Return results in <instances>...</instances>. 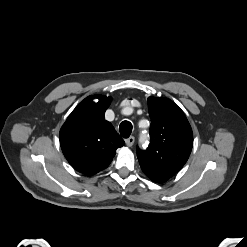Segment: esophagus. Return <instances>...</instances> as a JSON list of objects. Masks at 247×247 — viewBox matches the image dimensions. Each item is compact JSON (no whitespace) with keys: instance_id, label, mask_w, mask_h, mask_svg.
I'll return each instance as SVG.
<instances>
[{"instance_id":"obj_1","label":"esophagus","mask_w":247,"mask_h":247,"mask_svg":"<svg viewBox=\"0 0 247 247\" xmlns=\"http://www.w3.org/2000/svg\"><path fill=\"white\" fill-rule=\"evenodd\" d=\"M135 138L133 136H130L125 140V143L127 146L131 147L134 144Z\"/></svg>"}]
</instances>
